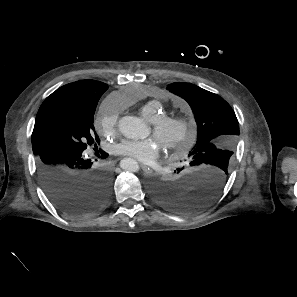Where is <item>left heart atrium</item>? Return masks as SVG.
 <instances>
[{
    "instance_id": "1",
    "label": "left heart atrium",
    "mask_w": 297,
    "mask_h": 297,
    "mask_svg": "<svg viewBox=\"0 0 297 297\" xmlns=\"http://www.w3.org/2000/svg\"><path fill=\"white\" fill-rule=\"evenodd\" d=\"M161 145L155 138L146 140L124 139L115 146V152L127 156L143 164L154 162L160 154Z\"/></svg>"
}]
</instances>
